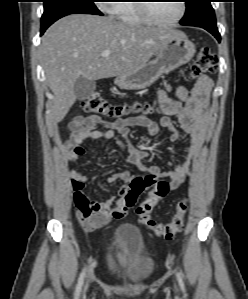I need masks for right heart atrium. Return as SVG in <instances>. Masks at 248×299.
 <instances>
[{"mask_svg":"<svg viewBox=\"0 0 248 299\" xmlns=\"http://www.w3.org/2000/svg\"><path fill=\"white\" fill-rule=\"evenodd\" d=\"M104 2V1H102ZM114 5V3H102L101 8L105 11H108L109 13H112V6Z\"/></svg>","mask_w":248,"mask_h":299,"instance_id":"obj_1","label":"right heart atrium"}]
</instances>
